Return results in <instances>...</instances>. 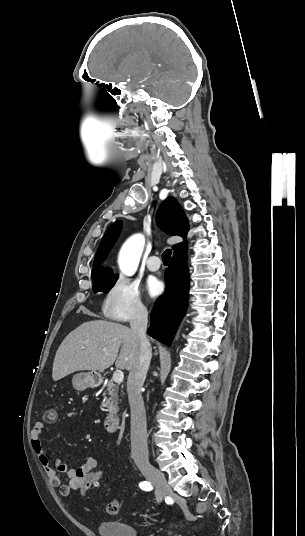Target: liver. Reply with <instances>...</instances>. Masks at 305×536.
<instances>
[{"instance_id":"6515ba94","label":"liver","mask_w":305,"mask_h":536,"mask_svg":"<svg viewBox=\"0 0 305 536\" xmlns=\"http://www.w3.org/2000/svg\"><path fill=\"white\" fill-rule=\"evenodd\" d=\"M95 316V314H90ZM103 348H106L104 352ZM120 354L118 356V352ZM140 344L130 328L114 322H84L59 346L53 362L54 382L81 370H132L139 362Z\"/></svg>"}]
</instances>
